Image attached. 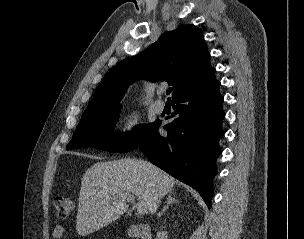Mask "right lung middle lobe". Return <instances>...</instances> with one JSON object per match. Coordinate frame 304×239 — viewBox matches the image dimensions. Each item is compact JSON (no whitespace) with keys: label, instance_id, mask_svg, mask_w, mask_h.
I'll list each match as a JSON object with an SVG mask.
<instances>
[{"label":"right lung middle lobe","instance_id":"dd1d6c3e","mask_svg":"<svg viewBox=\"0 0 304 239\" xmlns=\"http://www.w3.org/2000/svg\"><path fill=\"white\" fill-rule=\"evenodd\" d=\"M119 111L120 106L117 105L83 117L66 149L93 146L107 151L128 152L137 148L151 134L158 120L138 125L126 136H117L111 128Z\"/></svg>","mask_w":304,"mask_h":239}]
</instances>
